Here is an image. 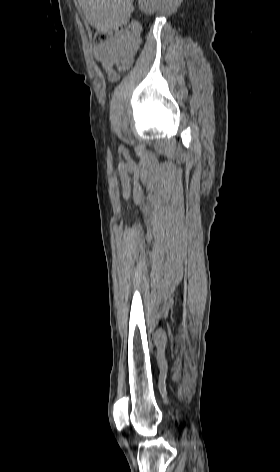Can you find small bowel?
Masks as SVG:
<instances>
[{"label":"small bowel","mask_w":280,"mask_h":472,"mask_svg":"<svg viewBox=\"0 0 280 472\" xmlns=\"http://www.w3.org/2000/svg\"><path fill=\"white\" fill-rule=\"evenodd\" d=\"M140 33V24L133 21L130 31L116 35L106 45L93 47L92 54L102 63L110 81H115L118 78V73L113 67L117 66L120 59L127 57L130 59V65L132 64L140 45Z\"/></svg>","instance_id":"1"}]
</instances>
